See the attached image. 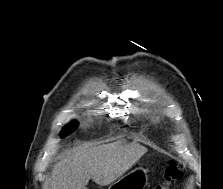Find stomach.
<instances>
[{
	"label": "stomach",
	"instance_id": "stomach-1",
	"mask_svg": "<svg viewBox=\"0 0 223 189\" xmlns=\"http://www.w3.org/2000/svg\"><path fill=\"white\" fill-rule=\"evenodd\" d=\"M147 180V171L143 168H136L128 174L121 176L108 189H144Z\"/></svg>",
	"mask_w": 223,
	"mask_h": 189
}]
</instances>
